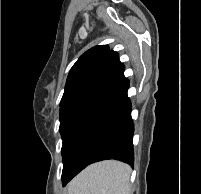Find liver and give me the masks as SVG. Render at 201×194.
<instances>
[{"mask_svg":"<svg viewBox=\"0 0 201 194\" xmlns=\"http://www.w3.org/2000/svg\"><path fill=\"white\" fill-rule=\"evenodd\" d=\"M131 168L119 161L92 164L69 184L68 194H130Z\"/></svg>","mask_w":201,"mask_h":194,"instance_id":"1","label":"liver"}]
</instances>
